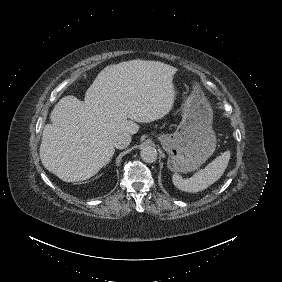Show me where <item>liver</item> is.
<instances>
[{
    "instance_id": "obj_1",
    "label": "liver",
    "mask_w": 282,
    "mask_h": 282,
    "mask_svg": "<svg viewBox=\"0 0 282 282\" xmlns=\"http://www.w3.org/2000/svg\"><path fill=\"white\" fill-rule=\"evenodd\" d=\"M176 71L170 64L142 59L103 68L83 100L66 96L53 108L40 144L42 164L64 181L95 175L111 160L116 135H134L140 129L136 121L169 112Z\"/></svg>"
}]
</instances>
